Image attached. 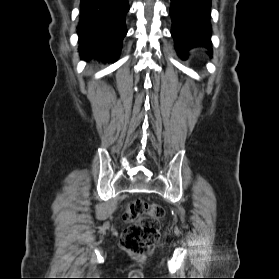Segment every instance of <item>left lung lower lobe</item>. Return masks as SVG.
<instances>
[{"instance_id":"obj_1","label":"left lung lower lobe","mask_w":279,"mask_h":279,"mask_svg":"<svg viewBox=\"0 0 279 279\" xmlns=\"http://www.w3.org/2000/svg\"><path fill=\"white\" fill-rule=\"evenodd\" d=\"M210 9L211 0H171V34L180 56L196 43L211 50Z\"/></svg>"}]
</instances>
